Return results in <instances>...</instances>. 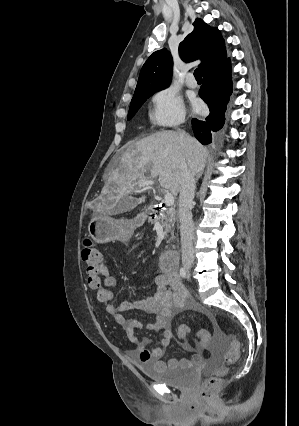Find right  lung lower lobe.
<instances>
[{"mask_svg":"<svg viewBox=\"0 0 299 426\" xmlns=\"http://www.w3.org/2000/svg\"><path fill=\"white\" fill-rule=\"evenodd\" d=\"M230 71V59H226L220 66L203 74L204 82L199 95L207 103L210 114L202 121L192 119L194 135L203 145L210 144L214 132L224 125V113L232 93Z\"/></svg>","mask_w":299,"mask_h":426,"instance_id":"1","label":"right lung lower lobe"}]
</instances>
